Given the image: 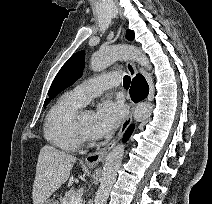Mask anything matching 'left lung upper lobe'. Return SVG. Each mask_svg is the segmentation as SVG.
<instances>
[{
  "label": "left lung upper lobe",
  "instance_id": "left-lung-upper-lobe-1",
  "mask_svg": "<svg viewBox=\"0 0 212 204\" xmlns=\"http://www.w3.org/2000/svg\"><path fill=\"white\" fill-rule=\"evenodd\" d=\"M126 36L128 40H133V31L128 30ZM83 67L84 52L80 51L72 55V57L62 66L56 75L48 92L49 99H46L44 106H46L49 100L54 98L60 91L79 79L82 76Z\"/></svg>",
  "mask_w": 212,
  "mask_h": 204
}]
</instances>
